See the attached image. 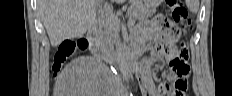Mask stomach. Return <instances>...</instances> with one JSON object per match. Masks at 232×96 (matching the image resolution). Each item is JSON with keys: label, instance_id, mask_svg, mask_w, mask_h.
Masks as SVG:
<instances>
[{"label": "stomach", "instance_id": "stomach-1", "mask_svg": "<svg viewBox=\"0 0 232 96\" xmlns=\"http://www.w3.org/2000/svg\"><path fill=\"white\" fill-rule=\"evenodd\" d=\"M145 6H153L158 0H143Z\"/></svg>", "mask_w": 232, "mask_h": 96}]
</instances>
